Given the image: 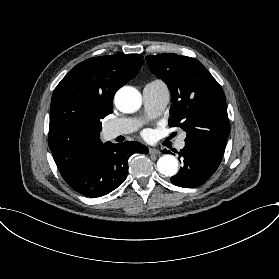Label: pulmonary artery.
<instances>
[{
  "label": "pulmonary artery",
  "instance_id": "pulmonary-artery-1",
  "mask_svg": "<svg viewBox=\"0 0 279 279\" xmlns=\"http://www.w3.org/2000/svg\"><path fill=\"white\" fill-rule=\"evenodd\" d=\"M143 103L147 114L150 117L159 116L170 99V91L167 84L159 79L147 83L143 88ZM142 124L138 118H123L105 126V135L114 138L121 135L129 134L137 130ZM185 134H182L177 146L182 149L185 145Z\"/></svg>",
  "mask_w": 279,
  "mask_h": 279
}]
</instances>
